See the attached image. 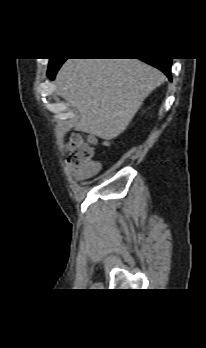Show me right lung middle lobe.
I'll return each mask as SVG.
<instances>
[{
  "label": "right lung middle lobe",
  "mask_w": 206,
  "mask_h": 348,
  "mask_svg": "<svg viewBox=\"0 0 206 348\" xmlns=\"http://www.w3.org/2000/svg\"><path fill=\"white\" fill-rule=\"evenodd\" d=\"M61 60H64V59H50L49 61V67L59 63Z\"/></svg>",
  "instance_id": "obj_1"
}]
</instances>
